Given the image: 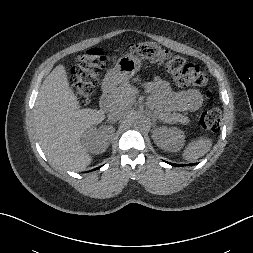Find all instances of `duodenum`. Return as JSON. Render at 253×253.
<instances>
[{
	"instance_id": "410a0bca",
	"label": "duodenum",
	"mask_w": 253,
	"mask_h": 253,
	"mask_svg": "<svg viewBox=\"0 0 253 253\" xmlns=\"http://www.w3.org/2000/svg\"><path fill=\"white\" fill-rule=\"evenodd\" d=\"M114 90V83L112 78H108L104 81L102 86V95L100 99V105L104 110H109L113 106L112 94Z\"/></svg>"
}]
</instances>
